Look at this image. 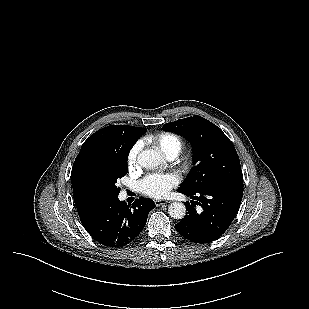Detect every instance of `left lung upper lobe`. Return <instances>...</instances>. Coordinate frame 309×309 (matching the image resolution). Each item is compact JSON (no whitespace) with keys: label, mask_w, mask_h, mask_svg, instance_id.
<instances>
[{"label":"left lung upper lobe","mask_w":309,"mask_h":309,"mask_svg":"<svg viewBox=\"0 0 309 309\" xmlns=\"http://www.w3.org/2000/svg\"><path fill=\"white\" fill-rule=\"evenodd\" d=\"M162 129L185 137L193 147L195 165L180 184L179 192L195 193L222 184H243L234 145L215 124L195 115L167 123Z\"/></svg>","instance_id":"5c2ea615"}]
</instances>
